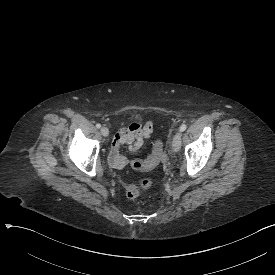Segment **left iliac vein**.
<instances>
[{"label": "left iliac vein", "instance_id": "left-iliac-vein-1", "mask_svg": "<svg viewBox=\"0 0 275 275\" xmlns=\"http://www.w3.org/2000/svg\"><path fill=\"white\" fill-rule=\"evenodd\" d=\"M180 139L181 132H177L172 139V149L174 152H178L180 150Z\"/></svg>", "mask_w": 275, "mask_h": 275}]
</instances>
